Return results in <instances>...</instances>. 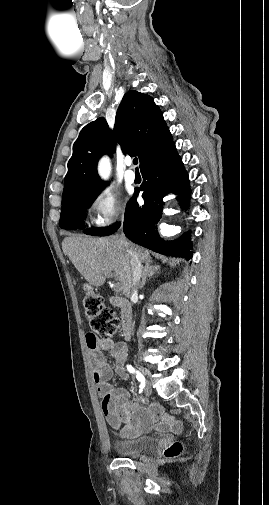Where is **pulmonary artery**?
Returning <instances> with one entry per match:
<instances>
[{
	"instance_id": "obj_1",
	"label": "pulmonary artery",
	"mask_w": 269,
	"mask_h": 505,
	"mask_svg": "<svg viewBox=\"0 0 269 505\" xmlns=\"http://www.w3.org/2000/svg\"><path fill=\"white\" fill-rule=\"evenodd\" d=\"M131 164H132V161H131L130 159H127V160H126V165H127L128 167H130V166H131ZM124 177H125V180H126L128 183H134L135 178H136L134 171H132L131 169H127V170H126V172H125V174H124Z\"/></svg>"
}]
</instances>
